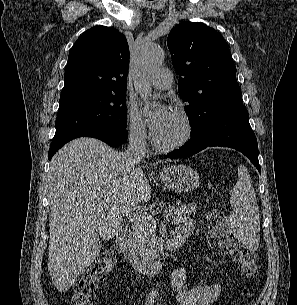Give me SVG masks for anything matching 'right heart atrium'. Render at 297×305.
I'll return each instance as SVG.
<instances>
[{"instance_id":"right-heart-atrium-1","label":"right heart atrium","mask_w":297,"mask_h":305,"mask_svg":"<svg viewBox=\"0 0 297 305\" xmlns=\"http://www.w3.org/2000/svg\"><path fill=\"white\" fill-rule=\"evenodd\" d=\"M125 130L128 139L136 146H143L148 138L144 121L138 110L127 105L125 113Z\"/></svg>"}]
</instances>
